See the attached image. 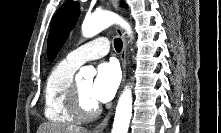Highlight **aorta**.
<instances>
[{
	"label": "aorta",
	"instance_id": "obj_1",
	"mask_svg": "<svg viewBox=\"0 0 221 133\" xmlns=\"http://www.w3.org/2000/svg\"><path fill=\"white\" fill-rule=\"evenodd\" d=\"M112 24L121 25L126 30L127 34L132 36V29L129 23L110 11L94 13L86 17L82 24V34L84 37L90 38ZM94 74V68L85 66L80 69L77 78L80 79L82 76H93ZM132 103L131 87L127 85L119 97L111 133H128L129 123L132 117Z\"/></svg>",
	"mask_w": 221,
	"mask_h": 133
}]
</instances>
